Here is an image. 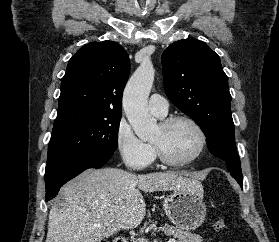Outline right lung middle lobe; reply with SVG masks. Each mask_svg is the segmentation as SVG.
<instances>
[{
	"label": "right lung middle lobe",
	"instance_id": "1",
	"mask_svg": "<svg viewBox=\"0 0 279 242\" xmlns=\"http://www.w3.org/2000/svg\"><path fill=\"white\" fill-rule=\"evenodd\" d=\"M121 115L91 110L57 114L45 171L64 161L87 153L113 154L118 147Z\"/></svg>",
	"mask_w": 279,
	"mask_h": 242
}]
</instances>
